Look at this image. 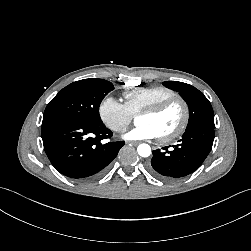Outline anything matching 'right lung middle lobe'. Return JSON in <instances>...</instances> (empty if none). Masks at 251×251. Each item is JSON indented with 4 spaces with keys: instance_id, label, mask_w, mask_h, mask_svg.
Wrapping results in <instances>:
<instances>
[{
    "instance_id": "obj_1",
    "label": "right lung middle lobe",
    "mask_w": 251,
    "mask_h": 251,
    "mask_svg": "<svg viewBox=\"0 0 251 251\" xmlns=\"http://www.w3.org/2000/svg\"><path fill=\"white\" fill-rule=\"evenodd\" d=\"M114 89L103 79H83L63 88L47 105L43 121L51 118H68L102 123L99 106L103 98Z\"/></svg>"
}]
</instances>
